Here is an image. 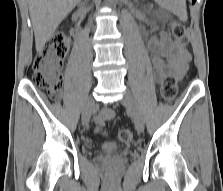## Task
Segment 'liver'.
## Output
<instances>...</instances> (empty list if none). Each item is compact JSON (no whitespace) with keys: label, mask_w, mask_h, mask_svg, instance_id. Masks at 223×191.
Here are the masks:
<instances>
[{"label":"liver","mask_w":223,"mask_h":191,"mask_svg":"<svg viewBox=\"0 0 223 191\" xmlns=\"http://www.w3.org/2000/svg\"><path fill=\"white\" fill-rule=\"evenodd\" d=\"M81 0H28L37 52L41 53L59 24Z\"/></svg>","instance_id":"6515ba94"}]
</instances>
